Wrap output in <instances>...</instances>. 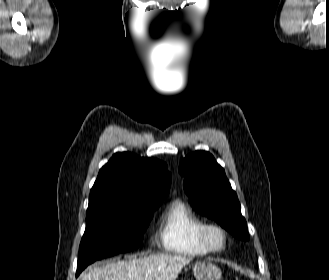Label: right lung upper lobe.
Instances as JSON below:
<instances>
[{"instance_id":"right-lung-upper-lobe-1","label":"right lung upper lobe","mask_w":329,"mask_h":280,"mask_svg":"<svg viewBox=\"0 0 329 280\" xmlns=\"http://www.w3.org/2000/svg\"><path fill=\"white\" fill-rule=\"evenodd\" d=\"M170 184L171 174L164 162L129 152L116 153L99 171L86 214L100 204L115 200L164 199Z\"/></svg>"}]
</instances>
